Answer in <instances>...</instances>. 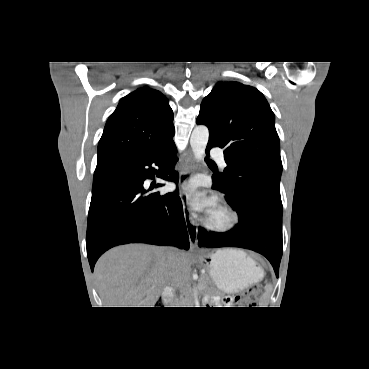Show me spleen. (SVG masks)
Instances as JSON below:
<instances>
[{"instance_id": "3e777b00", "label": "spleen", "mask_w": 369, "mask_h": 369, "mask_svg": "<svg viewBox=\"0 0 369 369\" xmlns=\"http://www.w3.org/2000/svg\"><path fill=\"white\" fill-rule=\"evenodd\" d=\"M270 290V286H266V291L268 292Z\"/></svg>"}]
</instances>
